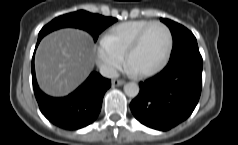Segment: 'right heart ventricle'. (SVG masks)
Listing matches in <instances>:
<instances>
[{
  "label": "right heart ventricle",
  "mask_w": 238,
  "mask_h": 145,
  "mask_svg": "<svg viewBox=\"0 0 238 145\" xmlns=\"http://www.w3.org/2000/svg\"><path fill=\"white\" fill-rule=\"evenodd\" d=\"M151 22L150 20H131L120 23L107 30L102 40L121 55H124L137 34Z\"/></svg>",
  "instance_id": "1"
}]
</instances>
